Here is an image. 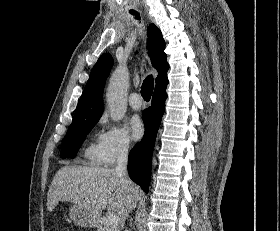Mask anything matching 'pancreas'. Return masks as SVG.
<instances>
[{
    "label": "pancreas",
    "mask_w": 280,
    "mask_h": 231,
    "mask_svg": "<svg viewBox=\"0 0 280 231\" xmlns=\"http://www.w3.org/2000/svg\"><path fill=\"white\" fill-rule=\"evenodd\" d=\"M107 219V215H104V217H99L96 225V227H98V231H119V225L109 223Z\"/></svg>",
    "instance_id": "obj_1"
}]
</instances>
